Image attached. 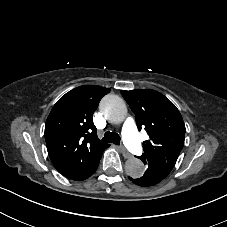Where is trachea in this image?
<instances>
[{"mask_svg": "<svg viewBox=\"0 0 227 227\" xmlns=\"http://www.w3.org/2000/svg\"><path fill=\"white\" fill-rule=\"evenodd\" d=\"M104 142H107V143H113L115 145H119L120 142H121V139H120V136L114 132V131H107L105 134H104V137L102 139Z\"/></svg>", "mask_w": 227, "mask_h": 227, "instance_id": "1", "label": "trachea"}]
</instances>
